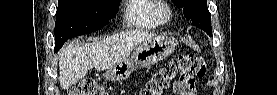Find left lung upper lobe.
<instances>
[{
  "label": "left lung upper lobe",
  "instance_id": "5c2ea615",
  "mask_svg": "<svg viewBox=\"0 0 277 95\" xmlns=\"http://www.w3.org/2000/svg\"><path fill=\"white\" fill-rule=\"evenodd\" d=\"M183 9L184 16L191 19L193 24L208 35H211V14L208 11L206 0H172Z\"/></svg>",
  "mask_w": 277,
  "mask_h": 95
}]
</instances>
